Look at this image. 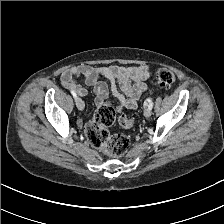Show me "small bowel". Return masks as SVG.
Instances as JSON below:
<instances>
[{
  "label": "small bowel",
  "instance_id": "small-bowel-1",
  "mask_svg": "<svg viewBox=\"0 0 224 224\" xmlns=\"http://www.w3.org/2000/svg\"><path fill=\"white\" fill-rule=\"evenodd\" d=\"M151 69L146 65L135 66H98L79 65L65 70L61 74V83L68 90L75 91L79 96L87 95V90L75 81L83 77L85 83L94 89L97 106L106 105L109 88L117 100V110L136 109L140 95L147 90L144 82L150 75ZM104 78L109 82L100 81ZM82 125V121H78Z\"/></svg>",
  "mask_w": 224,
  "mask_h": 224
}]
</instances>
